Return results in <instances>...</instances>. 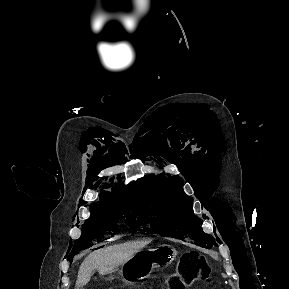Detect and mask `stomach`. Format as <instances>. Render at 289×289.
<instances>
[{"label": "stomach", "mask_w": 289, "mask_h": 289, "mask_svg": "<svg viewBox=\"0 0 289 289\" xmlns=\"http://www.w3.org/2000/svg\"><path fill=\"white\" fill-rule=\"evenodd\" d=\"M176 255L175 248L167 244L154 249H141L122 265L121 278L126 280V284H132L133 280L149 276L154 268L169 265Z\"/></svg>", "instance_id": "1"}]
</instances>
